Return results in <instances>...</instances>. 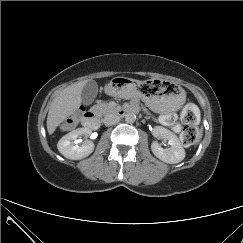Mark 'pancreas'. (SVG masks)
<instances>
[{
  "mask_svg": "<svg viewBox=\"0 0 243 243\" xmlns=\"http://www.w3.org/2000/svg\"><path fill=\"white\" fill-rule=\"evenodd\" d=\"M109 107V105L107 103H101L99 104L96 108H103V109H107Z\"/></svg>",
  "mask_w": 243,
  "mask_h": 243,
  "instance_id": "1",
  "label": "pancreas"
}]
</instances>
